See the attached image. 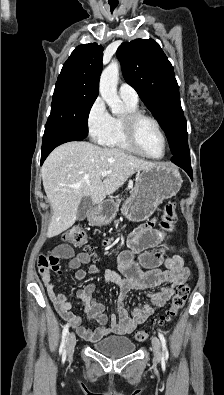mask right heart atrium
<instances>
[{
    "instance_id": "obj_1",
    "label": "right heart atrium",
    "mask_w": 224,
    "mask_h": 395,
    "mask_svg": "<svg viewBox=\"0 0 224 395\" xmlns=\"http://www.w3.org/2000/svg\"><path fill=\"white\" fill-rule=\"evenodd\" d=\"M111 115L109 114L106 105L101 97H97L90 105L86 125L90 137L93 140H99L108 130L110 125Z\"/></svg>"
}]
</instances>
